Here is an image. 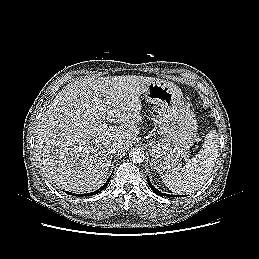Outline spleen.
<instances>
[{"label":"spleen","instance_id":"1","mask_svg":"<svg viewBox=\"0 0 259 259\" xmlns=\"http://www.w3.org/2000/svg\"><path fill=\"white\" fill-rule=\"evenodd\" d=\"M219 135L211 130L203 148L187 161L181 171L170 170L161 176L163 183L174 193L191 194L198 191L210 178L218 157Z\"/></svg>","mask_w":259,"mask_h":259}]
</instances>
